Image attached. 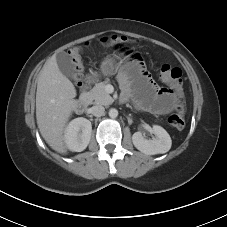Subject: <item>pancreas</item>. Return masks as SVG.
I'll return each instance as SVG.
<instances>
[{
    "label": "pancreas",
    "instance_id": "pancreas-1",
    "mask_svg": "<svg viewBox=\"0 0 227 227\" xmlns=\"http://www.w3.org/2000/svg\"><path fill=\"white\" fill-rule=\"evenodd\" d=\"M106 84H107V81L97 83L88 92L90 103L100 104V105H110L114 102V99L105 90Z\"/></svg>",
    "mask_w": 227,
    "mask_h": 227
}]
</instances>
